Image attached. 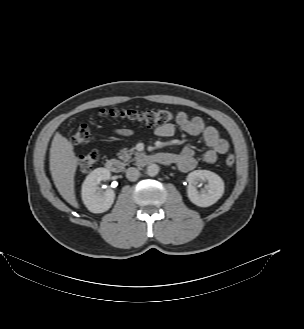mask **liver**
I'll return each instance as SVG.
<instances>
[{
  "label": "liver",
  "instance_id": "1",
  "mask_svg": "<svg viewBox=\"0 0 304 329\" xmlns=\"http://www.w3.org/2000/svg\"><path fill=\"white\" fill-rule=\"evenodd\" d=\"M49 161L51 176L58 192L70 205L78 208L74 189L78 160L72 143L60 133H56L52 140Z\"/></svg>",
  "mask_w": 304,
  "mask_h": 329
}]
</instances>
